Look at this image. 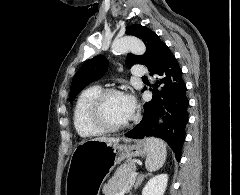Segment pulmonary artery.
<instances>
[{
    "mask_svg": "<svg viewBox=\"0 0 240 195\" xmlns=\"http://www.w3.org/2000/svg\"><path fill=\"white\" fill-rule=\"evenodd\" d=\"M133 76H147L148 75V70L146 69L145 66L142 65H134L133 70H132Z\"/></svg>",
    "mask_w": 240,
    "mask_h": 195,
    "instance_id": "pulmonary-artery-1",
    "label": "pulmonary artery"
}]
</instances>
